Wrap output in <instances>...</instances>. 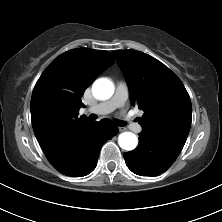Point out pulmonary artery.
<instances>
[{
	"instance_id": "pulmonary-artery-1",
	"label": "pulmonary artery",
	"mask_w": 222,
	"mask_h": 222,
	"mask_svg": "<svg viewBox=\"0 0 222 222\" xmlns=\"http://www.w3.org/2000/svg\"><path fill=\"white\" fill-rule=\"evenodd\" d=\"M128 96H129V89L127 84L122 81H119L116 84L115 93L110 100L97 104L93 107H89L88 109H86V111L95 114H108L117 108L123 107L128 99ZM127 125L131 129L138 132L141 131L142 129L138 123L132 121H128Z\"/></svg>"
}]
</instances>
